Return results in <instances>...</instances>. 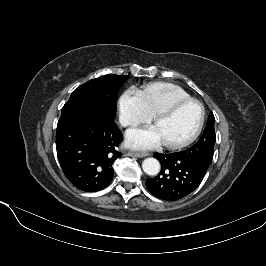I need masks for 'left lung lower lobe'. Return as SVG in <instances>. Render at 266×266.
<instances>
[{
  "label": "left lung lower lobe",
  "mask_w": 266,
  "mask_h": 266,
  "mask_svg": "<svg viewBox=\"0 0 266 266\" xmlns=\"http://www.w3.org/2000/svg\"><path fill=\"white\" fill-rule=\"evenodd\" d=\"M161 163L158 176L147 179V189L157 198L167 201L179 200L192 193L203 180L206 169L180 152L171 154L155 153Z\"/></svg>",
  "instance_id": "left-lung-lower-lobe-1"
}]
</instances>
